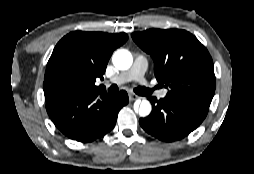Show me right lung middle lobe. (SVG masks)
<instances>
[{"mask_svg": "<svg viewBox=\"0 0 254 174\" xmlns=\"http://www.w3.org/2000/svg\"><path fill=\"white\" fill-rule=\"evenodd\" d=\"M83 92V88L71 82L60 83L53 91V98L64 97L67 95Z\"/></svg>", "mask_w": 254, "mask_h": 174, "instance_id": "dd1d6c3e", "label": "right lung middle lobe"}]
</instances>
